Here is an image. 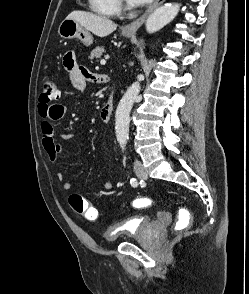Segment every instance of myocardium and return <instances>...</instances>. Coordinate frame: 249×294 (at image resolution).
I'll use <instances>...</instances> for the list:
<instances>
[{"instance_id":"1","label":"myocardium","mask_w":249,"mask_h":294,"mask_svg":"<svg viewBox=\"0 0 249 294\" xmlns=\"http://www.w3.org/2000/svg\"><path fill=\"white\" fill-rule=\"evenodd\" d=\"M120 3V6H123L126 9H130V4L128 2V0H118Z\"/></svg>"}]
</instances>
